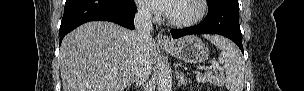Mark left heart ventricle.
Wrapping results in <instances>:
<instances>
[{
	"label": "left heart ventricle",
	"instance_id": "b2bd125f",
	"mask_svg": "<svg viewBox=\"0 0 304 91\" xmlns=\"http://www.w3.org/2000/svg\"><path fill=\"white\" fill-rule=\"evenodd\" d=\"M198 13V5L195 0L171 1L168 16L174 20H186L193 18Z\"/></svg>",
	"mask_w": 304,
	"mask_h": 91
}]
</instances>
